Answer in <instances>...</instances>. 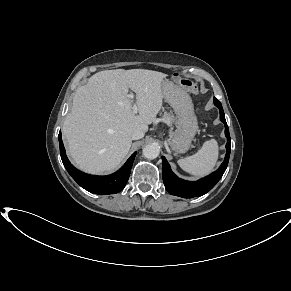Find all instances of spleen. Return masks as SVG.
Wrapping results in <instances>:
<instances>
[{
  "mask_svg": "<svg viewBox=\"0 0 291 291\" xmlns=\"http://www.w3.org/2000/svg\"><path fill=\"white\" fill-rule=\"evenodd\" d=\"M218 144L214 139L204 142L202 148L194 155L178 160L179 166L195 176H204L210 173L218 159Z\"/></svg>",
  "mask_w": 291,
  "mask_h": 291,
  "instance_id": "obj_1",
  "label": "spleen"
}]
</instances>
